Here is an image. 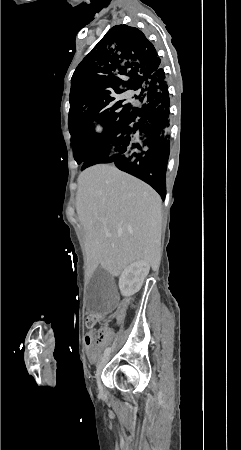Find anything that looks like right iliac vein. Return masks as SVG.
Listing matches in <instances>:
<instances>
[{"label": "right iliac vein", "mask_w": 241, "mask_h": 450, "mask_svg": "<svg viewBox=\"0 0 241 450\" xmlns=\"http://www.w3.org/2000/svg\"><path fill=\"white\" fill-rule=\"evenodd\" d=\"M108 360H109V356L103 358L101 363H100V365H99V367H98V370H97V376H96L97 377V384H98V387H99L100 390H102V385H101V381H100L101 374H102L101 370L107 364Z\"/></svg>", "instance_id": "right-iliac-vein-1"}]
</instances>
